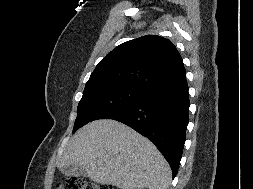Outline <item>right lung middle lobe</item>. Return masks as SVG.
I'll return each mask as SVG.
<instances>
[{
    "label": "right lung middle lobe",
    "instance_id": "1",
    "mask_svg": "<svg viewBox=\"0 0 253 189\" xmlns=\"http://www.w3.org/2000/svg\"><path fill=\"white\" fill-rule=\"evenodd\" d=\"M146 93V90L126 86H106L83 92L73 133L88 122L105 118L136 103Z\"/></svg>",
    "mask_w": 253,
    "mask_h": 189
}]
</instances>
